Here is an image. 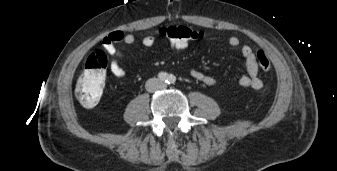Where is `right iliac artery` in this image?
<instances>
[{"instance_id": "obj_1", "label": "right iliac artery", "mask_w": 337, "mask_h": 171, "mask_svg": "<svg viewBox=\"0 0 337 171\" xmlns=\"http://www.w3.org/2000/svg\"><path fill=\"white\" fill-rule=\"evenodd\" d=\"M158 78H159L161 81L167 82V81H168V74L165 73V72H160V73L158 74Z\"/></svg>"}]
</instances>
